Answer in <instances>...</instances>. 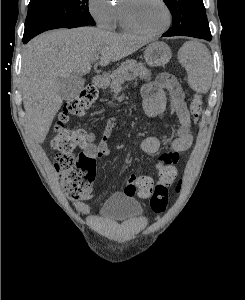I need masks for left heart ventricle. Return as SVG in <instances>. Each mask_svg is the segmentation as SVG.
<instances>
[{
    "mask_svg": "<svg viewBox=\"0 0 245 300\" xmlns=\"http://www.w3.org/2000/svg\"><path fill=\"white\" fill-rule=\"evenodd\" d=\"M126 5L132 19L143 29L156 31L165 26L167 15L158 0H132Z\"/></svg>",
    "mask_w": 245,
    "mask_h": 300,
    "instance_id": "left-heart-ventricle-1",
    "label": "left heart ventricle"
}]
</instances>
